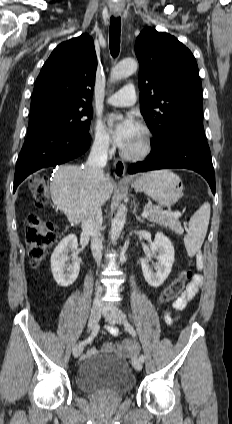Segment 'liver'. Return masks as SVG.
I'll list each match as a JSON object with an SVG mask.
<instances>
[{
  "instance_id": "obj_1",
  "label": "liver",
  "mask_w": 232,
  "mask_h": 424,
  "mask_svg": "<svg viewBox=\"0 0 232 424\" xmlns=\"http://www.w3.org/2000/svg\"><path fill=\"white\" fill-rule=\"evenodd\" d=\"M92 180L82 168L76 165H60L50 183L53 203L74 222H82L92 207ZM101 205L110 199L113 182L106 177L99 187Z\"/></svg>"
}]
</instances>
